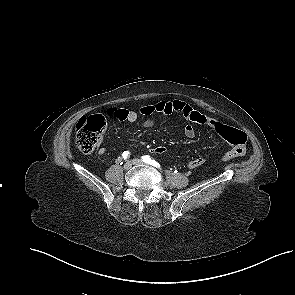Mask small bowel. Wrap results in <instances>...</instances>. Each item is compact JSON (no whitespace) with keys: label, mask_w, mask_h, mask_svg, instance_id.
I'll list each match as a JSON object with an SVG mask.
<instances>
[{"label":"small bowel","mask_w":295,"mask_h":295,"mask_svg":"<svg viewBox=\"0 0 295 295\" xmlns=\"http://www.w3.org/2000/svg\"><path fill=\"white\" fill-rule=\"evenodd\" d=\"M106 115L109 117L127 121V122H135L138 119V113L134 110H129L125 108L119 107H111L106 109ZM162 114V115H171V114H179L181 115L188 123L184 128V134L187 138L192 139L196 135V125L206 126L218 134L220 133V127L224 126L218 120L211 118L195 109H193L190 105L185 102L174 100V101H158L154 104L144 105L140 108V114L147 116L148 118L144 121L143 125L145 127H151L154 124V120L151 118L154 114ZM97 153L99 155H103L105 153L104 148H99ZM205 162L204 158L197 157L190 160L187 164L189 169H195L203 165Z\"/></svg>","instance_id":"small-bowel-1"}]
</instances>
